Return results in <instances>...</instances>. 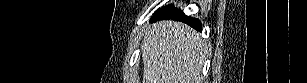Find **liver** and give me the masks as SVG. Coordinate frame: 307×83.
Here are the masks:
<instances>
[{"mask_svg":"<svg viewBox=\"0 0 307 83\" xmlns=\"http://www.w3.org/2000/svg\"><path fill=\"white\" fill-rule=\"evenodd\" d=\"M206 44L186 24H153L142 46L143 83H202Z\"/></svg>","mask_w":307,"mask_h":83,"instance_id":"6515ba94","label":"liver"}]
</instances>
